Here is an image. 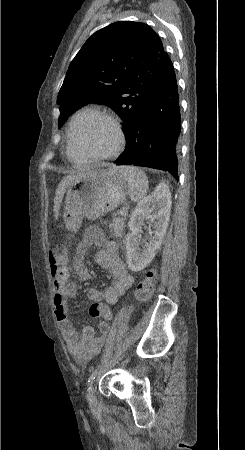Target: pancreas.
Wrapping results in <instances>:
<instances>
[{
  "mask_svg": "<svg viewBox=\"0 0 245 450\" xmlns=\"http://www.w3.org/2000/svg\"><path fill=\"white\" fill-rule=\"evenodd\" d=\"M126 218L125 217H116L113 219V222L109 224V229L111 233L116 236L120 237L122 236L123 229L125 228L124 222Z\"/></svg>",
  "mask_w": 245,
  "mask_h": 450,
  "instance_id": "pancreas-1",
  "label": "pancreas"
}]
</instances>
